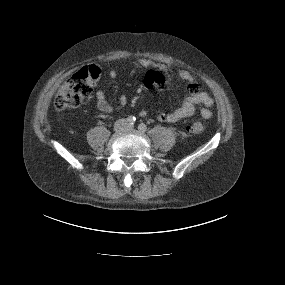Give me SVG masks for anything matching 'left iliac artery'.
Instances as JSON below:
<instances>
[{"label": "left iliac artery", "instance_id": "1", "mask_svg": "<svg viewBox=\"0 0 285 285\" xmlns=\"http://www.w3.org/2000/svg\"><path fill=\"white\" fill-rule=\"evenodd\" d=\"M138 129H139L141 132H145L146 129H147V127H146L145 124L141 123V124H139Z\"/></svg>", "mask_w": 285, "mask_h": 285}]
</instances>
